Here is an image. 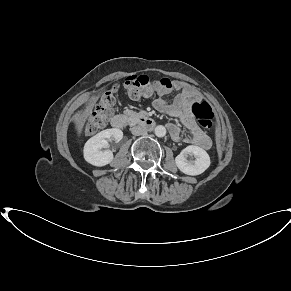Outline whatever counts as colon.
Listing matches in <instances>:
<instances>
[{
  "instance_id": "obj_1",
  "label": "colon",
  "mask_w": 291,
  "mask_h": 291,
  "mask_svg": "<svg viewBox=\"0 0 291 291\" xmlns=\"http://www.w3.org/2000/svg\"><path fill=\"white\" fill-rule=\"evenodd\" d=\"M124 86L131 99L148 97L168 86L164 79H154L147 75H134L124 80ZM115 87L104 89L95 103L88 105L83 112L81 123L86 134L92 135L106 127L109 119L114 114ZM191 111L205 128H211L214 123V113L211 106L205 102H194Z\"/></svg>"
}]
</instances>
